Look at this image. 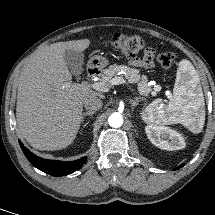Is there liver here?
Returning a JSON list of instances; mask_svg holds the SVG:
<instances>
[{
    "mask_svg": "<svg viewBox=\"0 0 215 215\" xmlns=\"http://www.w3.org/2000/svg\"><path fill=\"white\" fill-rule=\"evenodd\" d=\"M90 40L53 43L34 52L17 78V125L21 136L35 149L60 150L69 146L82 121L83 100L96 93L71 83L64 59L66 50L82 52Z\"/></svg>",
    "mask_w": 215,
    "mask_h": 215,
    "instance_id": "1",
    "label": "liver"
}]
</instances>
